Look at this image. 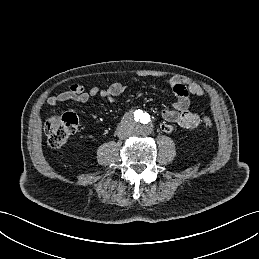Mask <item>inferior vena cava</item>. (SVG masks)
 Instances as JSON below:
<instances>
[{
	"mask_svg": "<svg viewBox=\"0 0 259 259\" xmlns=\"http://www.w3.org/2000/svg\"><path fill=\"white\" fill-rule=\"evenodd\" d=\"M117 135H118V137L121 138V139H123V138L126 137V134L123 133L122 131H117Z\"/></svg>",
	"mask_w": 259,
	"mask_h": 259,
	"instance_id": "602c4592",
	"label": "inferior vena cava"
}]
</instances>
